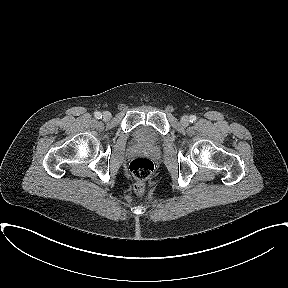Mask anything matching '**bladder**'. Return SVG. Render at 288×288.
I'll list each match as a JSON object with an SVG mask.
<instances>
[{
  "instance_id": "bladder-1",
  "label": "bladder",
  "mask_w": 288,
  "mask_h": 288,
  "mask_svg": "<svg viewBox=\"0 0 288 288\" xmlns=\"http://www.w3.org/2000/svg\"><path fill=\"white\" fill-rule=\"evenodd\" d=\"M136 138L139 142L148 145L154 144L157 141L156 134L147 127H140L136 131Z\"/></svg>"
}]
</instances>
